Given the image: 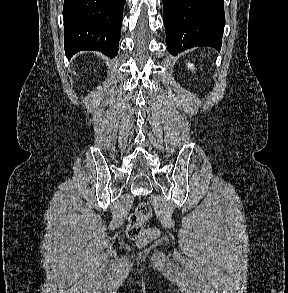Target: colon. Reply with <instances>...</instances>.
I'll use <instances>...</instances> for the list:
<instances>
[{
	"instance_id": "5ec220e1",
	"label": "colon",
	"mask_w": 288,
	"mask_h": 293,
	"mask_svg": "<svg viewBox=\"0 0 288 293\" xmlns=\"http://www.w3.org/2000/svg\"><path fill=\"white\" fill-rule=\"evenodd\" d=\"M151 215L152 209L150 204L147 202H141L129 217L126 231L127 236L138 246H144L158 236L157 229L145 228L143 225Z\"/></svg>"
}]
</instances>
